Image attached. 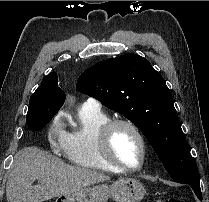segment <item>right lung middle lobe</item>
<instances>
[{
	"instance_id": "right-lung-middle-lobe-1",
	"label": "right lung middle lobe",
	"mask_w": 209,
	"mask_h": 202,
	"mask_svg": "<svg viewBox=\"0 0 209 202\" xmlns=\"http://www.w3.org/2000/svg\"><path fill=\"white\" fill-rule=\"evenodd\" d=\"M55 93L51 89H37L29 101V109L26 116L28 127L34 130L43 128L60 107L52 104Z\"/></svg>"
}]
</instances>
